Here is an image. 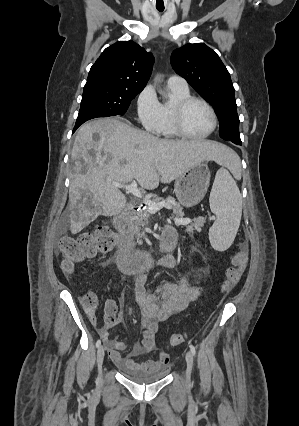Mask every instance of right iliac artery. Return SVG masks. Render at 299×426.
<instances>
[{"label": "right iliac artery", "mask_w": 299, "mask_h": 426, "mask_svg": "<svg viewBox=\"0 0 299 426\" xmlns=\"http://www.w3.org/2000/svg\"><path fill=\"white\" fill-rule=\"evenodd\" d=\"M101 345V340H97L96 347H99Z\"/></svg>", "instance_id": "1"}]
</instances>
